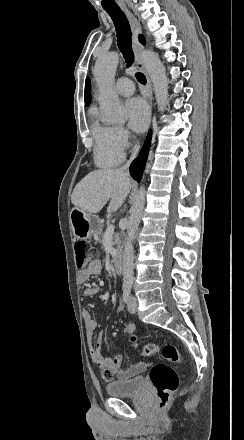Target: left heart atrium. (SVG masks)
Returning <instances> with one entry per match:
<instances>
[{"label": "left heart atrium", "instance_id": "39dd6f15", "mask_svg": "<svg viewBox=\"0 0 244 440\" xmlns=\"http://www.w3.org/2000/svg\"><path fill=\"white\" fill-rule=\"evenodd\" d=\"M127 111L129 126L137 132L144 131L150 117L149 108L145 101L141 98L130 99L127 103Z\"/></svg>", "mask_w": 244, "mask_h": 440}]
</instances>
